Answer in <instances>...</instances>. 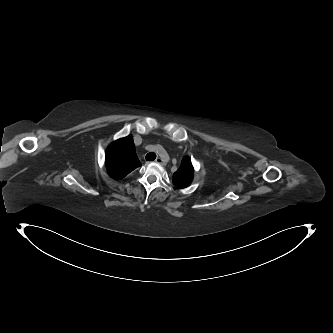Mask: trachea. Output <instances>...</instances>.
Returning a JSON list of instances; mask_svg holds the SVG:
<instances>
[{"label":"trachea","mask_w":333,"mask_h":333,"mask_svg":"<svg viewBox=\"0 0 333 333\" xmlns=\"http://www.w3.org/2000/svg\"><path fill=\"white\" fill-rule=\"evenodd\" d=\"M145 158L147 161H153L156 159V154L154 152H149Z\"/></svg>","instance_id":"3493384b"}]
</instances>
